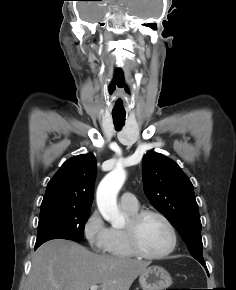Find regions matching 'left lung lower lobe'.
<instances>
[{"label":"left lung lower lobe","instance_id":"obj_1","mask_svg":"<svg viewBox=\"0 0 236 290\" xmlns=\"http://www.w3.org/2000/svg\"><path fill=\"white\" fill-rule=\"evenodd\" d=\"M205 267V262H200ZM207 269V268H206Z\"/></svg>","mask_w":236,"mask_h":290}]
</instances>
